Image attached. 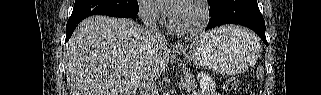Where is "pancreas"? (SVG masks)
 I'll list each match as a JSON object with an SVG mask.
<instances>
[{
	"label": "pancreas",
	"instance_id": "cf45deb5",
	"mask_svg": "<svg viewBox=\"0 0 321 95\" xmlns=\"http://www.w3.org/2000/svg\"><path fill=\"white\" fill-rule=\"evenodd\" d=\"M180 87H182L186 91H191L196 88V81L194 79V76L190 73L184 72L181 75V84Z\"/></svg>",
	"mask_w": 321,
	"mask_h": 95
}]
</instances>
